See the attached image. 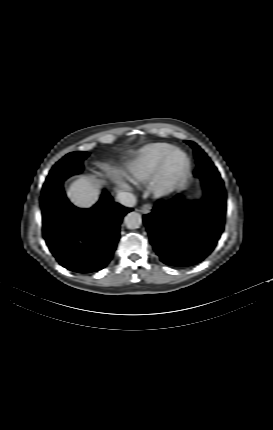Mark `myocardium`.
Masks as SVG:
<instances>
[{
  "label": "myocardium",
  "instance_id": "f54148a6",
  "mask_svg": "<svg viewBox=\"0 0 273 430\" xmlns=\"http://www.w3.org/2000/svg\"><path fill=\"white\" fill-rule=\"evenodd\" d=\"M180 156L184 160V166L178 173L170 169V162L174 156ZM191 169V161L185 152L178 148H172L163 157L156 172L152 176V189L157 196H167L177 190L187 178Z\"/></svg>",
  "mask_w": 273,
  "mask_h": 430
}]
</instances>
